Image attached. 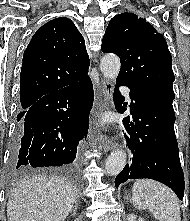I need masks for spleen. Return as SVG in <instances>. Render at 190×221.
Instances as JSON below:
<instances>
[{"mask_svg": "<svg viewBox=\"0 0 190 221\" xmlns=\"http://www.w3.org/2000/svg\"><path fill=\"white\" fill-rule=\"evenodd\" d=\"M133 206L148 209L158 221H181L180 204L168 187L149 179L137 180L132 188Z\"/></svg>", "mask_w": 190, "mask_h": 221, "instance_id": "obj_1", "label": "spleen"}]
</instances>
